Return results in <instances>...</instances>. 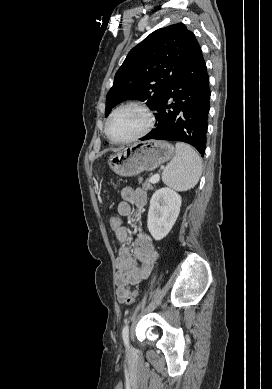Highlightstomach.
<instances>
[{
	"label": "stomach",
	"mask_w": 272,
	"mask_h": 389,
	"mask_svg": "<svg viewBox=\"0 0 272 389\" xmlns=\"http://www.w3.org/2000/svg\"><path fill=\"white\" fill-rule=\"evenodd\" d=\"M174 156V147L160 140L135 143L109 158L110 168L119 176L132 177L151 171Z\"/></svg>",
	"instance_id": "1"
}]
</instances>
